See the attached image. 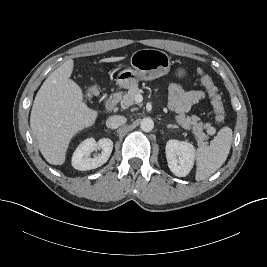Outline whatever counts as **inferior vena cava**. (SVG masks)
<instances>
[{
  "mask_svg": "<svg viewBox=\"0 0 267 267\" xmlns=\"http://www.w3.org/2000/svg\"><path fill=\"white\" fill-rule=\"evenodd\" d=\"M126 123V118L120 115H113L110 116L106 120V126L110 129H116L119 126L123 125Z\"/></svg>",
  "mask_w": 267,
  "mask_h": 267,
  "instance_id": "1",
  "label": "inferior vena cava"
}]
</instances>
